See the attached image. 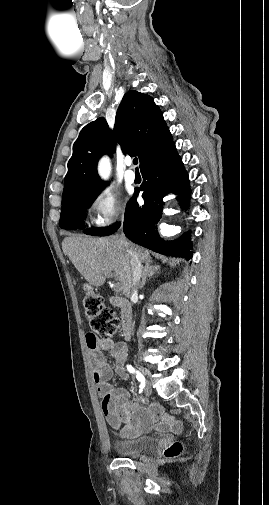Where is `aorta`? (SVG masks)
<instances>
[{
	"label": "aorta",
	"mask_w": 269,
	"mask_h": 505,
	"mask_svg": "<svg viewBox=\"0 0 269 505\" xmlns=\"http://www.w3.org/2000/svg\"><path fill=\"white\" fill-rule=\"evenodd\" d=\"M111 165L108 158H102L98 164V172L101 178L107 179L110 175Z\"/></svg>",
	"instance_id": "aorta-1"
}]
</instances>
